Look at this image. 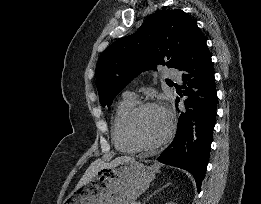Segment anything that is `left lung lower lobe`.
I'll return each mask as SVG.
<instances>
[{
  "label": "left lung lower lobe",
  "instance_id": "obj_1",
  "mask_svg": "<svg viewBox=\"0 0 261 204\" xmlns=\"http://www.w3.org/2000/svg\"><path fill=\"white\" fill-rule=\"evenodd\" d=\"M178 69L183 72V95L188 96L184 101L187 112L180 114L176 136L158 160L192 173L200 192L209 161L217 109L211 54L200 31L195 34ZM178 102L179 98L176 105Z\"/></svg>",
  "mask_w": 261,
  "mask_h": 204
}]
</instances>
